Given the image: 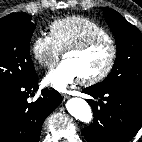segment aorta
Wrapping results in <instances>:
<instances>
[{"label":"aorta","mask_w":142,"mask_h":142,"mask_svg":"<svg viewBox=\"0 0 142 142\" xmlns=\"http://www.w3.org/2000/svg\"><path fill=\"white\" fill-rule=\"evenodd\" d=\"M67 111L76 119L89 123L92 120V111L88 103L78 97L71 98L66 103Z\"/></svg>","instance_id":"aorta-1"}]
</instances>
